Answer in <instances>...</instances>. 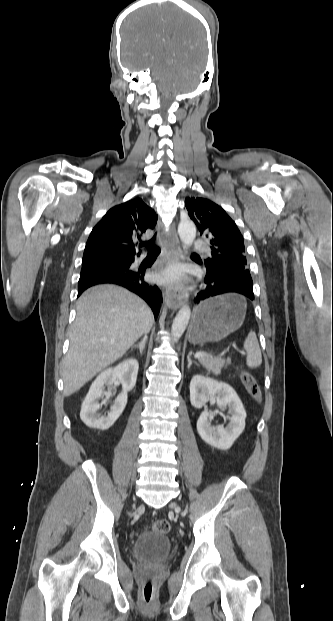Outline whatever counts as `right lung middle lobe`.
Returning <instances> with one entry per match:
<instances>
[{"instance_id":"obj_1","label":"right lung middle lobe","mask_w":333,"mask_h":621,"mask_svg":"<svg viewBox=\"0 0 333 621\" xmlns=\"http://www.w3.org/2000/svg\"><path fill=\"white\" fill-rule=\"evenodd\" d=\"M104 260H109V261L118 262V263H120L122 261L121 258L83 259L82 260V265L88 264V263L97 262V261H104Z\"/></svg>"}]
</instances>
